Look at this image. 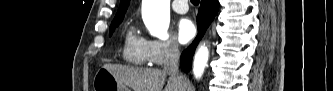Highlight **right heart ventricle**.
Here are the masks:
<instances>
[{
    "label": "right heart ventricle",
    "instance_id": "1",
    "mask_svg": "<svg viewBox=\"0 0 333 91\" xmlns=\"http://www.w3.org/2000/svg\"><path fill=\"white\" fill-rule=\"evenodd\" d=\"M123 56L127 62L135 65L149 63L145 50V39L141 38L132 26L126 30L124 35Z\"/></svg>",
    "mask_w": 333,
    "mask_h": 91
}]
</instances>
